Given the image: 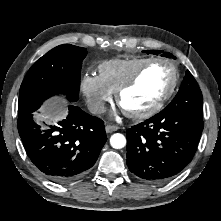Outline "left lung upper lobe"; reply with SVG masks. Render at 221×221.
I'll list each match as a JSON object with an SVG mask.
<instances>
[{"label":"left lung upper lobe","instance_id":"1","mask_svg":"<svg viewBox=\"0 0 221 221\" xmlns=\"http://www.w3.org/2000/svg\"><path fill=\"white\" fill-rule=\"evenodd\" d=\"M159 52L158 50L148 51L151 54ZM168 106L177 111L203 119L202 93L196 80L188 70L177 95Z\"/></svg>","mask_w":221,"mask_h":221}]
</instances>
